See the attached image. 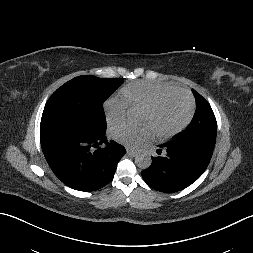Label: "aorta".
Instances as JSON below:
<instances>
[{"mask_svg": "<svg viewBox=\"0 0 253 253\" xmlns=\"http://www.w3.org/2000/svg\"><path fill=\"white\" fill-rule=\"evenodd\" d=\"M127 117L130 121L137 119V112L134 109L127 111ZM151 155L147 151H140L135 156V163L140 169H147L151 165Z\"/></svg>", "mask_w": 253, "mask_h": 253, "instance_id": "obj_1", "label": "aorta"}]
</instances>
